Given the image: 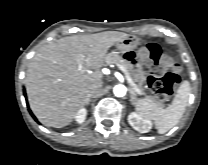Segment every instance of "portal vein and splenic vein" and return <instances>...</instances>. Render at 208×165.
<instances>
[{"instance_id":"18ae733b","label":"portal vein and splenic vein","mask_w":208,"mask_h":165,"mask_svg":"<svg viewBox=\"0 0 208 165\" xmlns=\"http://www.w3.org/2000/svg\"><path fill=\"white\" fill-rule=\"evenodd\" d=\"M117 67L125 74L127 81L133 85L132 79L130 78V76L127 73V70L125 69V67H123L122 65H117ZM134 87V86H133ZM135 88V87H134ZM136 89V88H135ZM137 91V90H136ZM138 92V91H137Z\"/></svg>"}]
</instances>
